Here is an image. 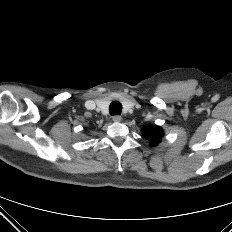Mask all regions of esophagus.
I'll list each match as a JSON object with an SVG mask.
<instances>
[{
	"mask_svg": "<svg viewBox=\"0 0 232 232\" xmlns=\"http://www.w3.org/2000/svg\"><path fill=\"white\" fill-rule=\"evenodd\" d=\"M112 120H113L114 122H120V121L122 120V117L119 116V115H114V116L112 117Z\"/></svg>",
	"mask_w": 232,
	"mask_h": 232,
	"instance_id": "obj_1",
	"label": "esophagus"
}]
</instances>
